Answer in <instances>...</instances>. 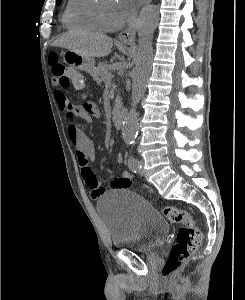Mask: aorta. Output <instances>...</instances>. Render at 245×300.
<instances>
[{
	"label": "aorta",
	"instance_id": "1",
	"mask_svg": "<svg viewBox=\"0 0 245 300\" xmlns=\"http://www.w3.org/2000/svg\"><path fill=\"white\" fill-rule=\"evenodd\" d=\"M158 21L159 9L157 6L150 5L142 10L138 23L136 66L132 76L131 108L122 126V136L126 144H132L138 132L136 107L145 93L151 72L153 58L152 40Z\"/></svg>",
	"mask_w": 245,
	"mask_h": 300
}]
</instances>
